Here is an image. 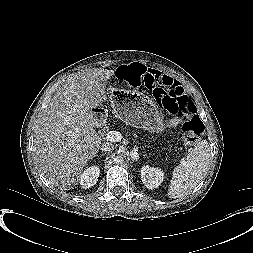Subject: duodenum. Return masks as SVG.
<instances>
[{"label":"duodenum","mask_w":253,"mask_h":253,"mask_svg":"<svg viewBox=\"0 0 253 253\" xmlns=\"http://www.w3.org/2000/svg\"><path fill=\"white\" fill-rule=\"evenodd\" d=\"M95 111V123L102 124L104 121V111L102 109L96 108Z\"/></svg>","instance_id":"duodenum-1"}]
</instances>
